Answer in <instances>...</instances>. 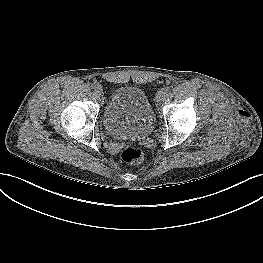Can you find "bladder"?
Returning a JSON list of instances; mask_svg holds the SVG:
<instances>
[{
    "instance_id": "obj_1",
    "label": "bladder",
    "mask_w": 263,
    "mask_h": 263,
    "mask_svg": "<svg viewBox=\"0 0 263 263\" xmlns=\"http://www.w3.org/2000/svg\"><path fill=\"white\" fill-rule=\"evenodd\" d=\"M102 124L115 137H147L154 128V112L142 89L117 88L104 106Z\"/></svg>"
}]
</instances>
